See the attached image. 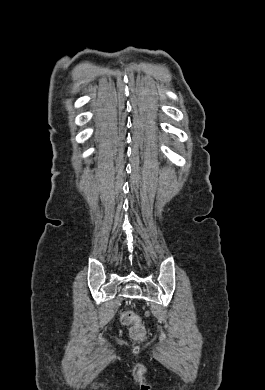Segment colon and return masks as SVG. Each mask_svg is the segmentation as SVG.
I'll list each match as a JSON object with an SVG mask.
<instances>
[{
  "instance_id": "obj_1",
  "label": "colon",
  "mask_w": 265,
  "mask_h": 390,
  "mask_svg": "<svg viewBox=\"0 0 265 390\" xmlns=\"http://www.w3.org/2000/svg\"><path fill=\"white\" fill-rule=\"evenodd\" d=\"M121 322L125 325H131L130 335L135 340H143L146 336V329L141 323L140 318L133 312H124L121 314Z\"/></svg>"
}]
</instances>
